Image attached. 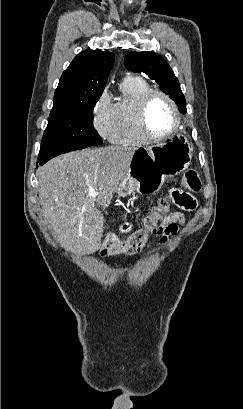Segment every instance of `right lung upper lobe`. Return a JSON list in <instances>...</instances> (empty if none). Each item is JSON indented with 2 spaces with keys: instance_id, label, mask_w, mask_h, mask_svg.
<instances>
[{
  "instance_id": "obj_1",
  "label": "right lung upper lobe",
  "mask_w": 243,
  "mask_h": 409,
  "mask_svg": "<svg viewBox=\"0 0 243 409\" xmlns=\"http://www.w3.org/2000/svg\"><path fill=\"white\" fill-rule=\"evenodd\" d=\"M114 61L113 52L87 49L79 53L63 72L54 103L98 101Z\"/></svg>"
}]
</instances>
